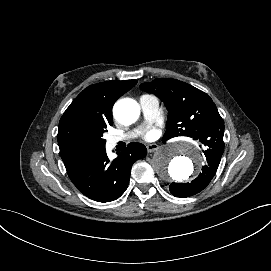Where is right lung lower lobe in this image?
I'll return each instance as SVG.
<instances>
[{
    "label": "right lung lower lobe",
    "mask_w": 271,
    "mask_h": 271,
    "mask_svg": "<svg viewBox=\"0 0 271 271\" xmlns=\"http://www.w3.org/2000/svg\"><path fill=\"white\" fill-rule=\"evenodd\" d=\"M146 154L144 145L130 143L112 161L103 147L93 153L78 155L64 164L71 181L82 194L105 203L118 199L125 192L133 163Z\"/></svg>",
    "instance_id": "98d812e1"
}]
</instances>
